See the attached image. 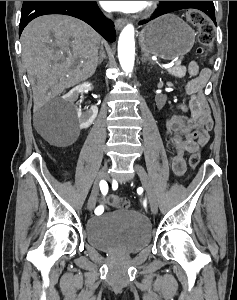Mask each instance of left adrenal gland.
<instances>
[{
	"label": "left adrenal gland",
	"instance_id": "left-adrenal-gland-1",
	"mask_svg": "<svg viewBox=\"0 0 237 300\" xmlns=\"http://www.w3.org/2000/svg\"><path fill=\"white\" fill-rule=\"evenodd\" d=\"M141 61H142V63H146V61H150V63H153V61H151L150 57H148L147 53H143Z\"/></svg>",
	"mask_w": 237,
	"mask_h": 300
}]
</instances>
